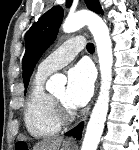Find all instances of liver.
I'll return each instance as SVG.
<instances>
[{"label": "liver", "instance_id": "liver-1", "mask_svg": "<svg viewBox=\"0 0 139 150\" xmlns=\"http://www.w3.org/2000/svg\"><path fill=\"white\" fill-rule=\"evenodd\" d=\"M62 140V137L43 139L33 147V150H59Z\"/></svg>", "mask_w": 139, "mask_h": 150}]
</instances>
